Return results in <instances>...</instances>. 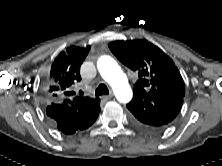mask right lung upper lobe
I'll return each instance as SVG.
<instances>
[{
  "label": "right lung upper lobe",
  "instance_id": "obj_1",
  "mask_svg": "<svg viewBox=\"0 0 222 166\" xmlns=\"http://www.w3.org/2000/svg\"><path fill=\"white\" fill-rule=\"evenodd\" d=\"M90 46L86 48L71 46L59 53L51 65L44 84V96L49 102L68 100L73 103L78 117H86L98 103L99 98L71 96L69 90L81 80L80 66L86 58Z\"/></svg>",
  "mask_w": 222,
  "mask_h": 166
}]
</instances>
